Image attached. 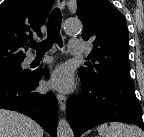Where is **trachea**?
I'll return each mask as SVG.
<instances>
[{
	"label": "trachea",
	"instance_id": "trachea-1",
	"mask_svg": "<svg viewBox=\"0 0 144 137\" xmlns=\"http://www.w3.org/2000/svg\"><path fill=\"white\" fill-rule=\"evenodd\" d=\"M62 23V14L58 8H54L50 13L48 19V33L47 38L42 42H36L34 40H30L27 44L29 47H32L36 50L37 54H42L51 49L54 43H57L60 47H62V38L60 35Z\"/></svg>",
	"mask_w": 144,
	"mask_h": 137
}]
</instances>
